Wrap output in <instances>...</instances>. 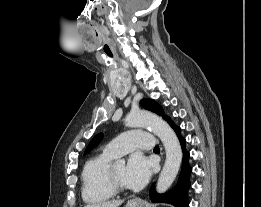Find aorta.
Returning <instances> with one entry per match:
<instances>
[{
	"instance_id": "aorta-1",
	"label": "aorta",
	"mask_w": 261,
	"mask_h": 207,
	"mask_svg": "<svg viewBox=\"0 0 261 207\" xmlns=\"http://www.w3.org/2000/svg\"><path fill=\"white\" fill-rule=\"evenodd\" d=\"M125 125L132 128H149L162 141L166 160L158 178L156 190L158 193L165 192L175 180L182 162V149L175 132L160 117L145 110L129 113L125 118Z\"/></svg>"
}]
</instances>
